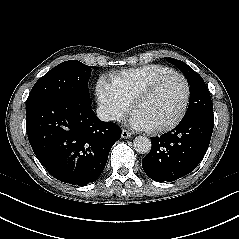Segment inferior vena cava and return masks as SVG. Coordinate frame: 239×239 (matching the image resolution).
<instances>
[{
	"mask_svg": "<svg viewBox=\"0 0 239 239\" xmlns=\"http://www.w3.org/2000/svg\"><path fill=\"white\" fill-rule=\"evenodd\" d=\"M97 117L101 121H106V122L113 121L116 119L115 113L111 109L105 106H100L97 108Z\"/></svg>",
	"mask_w": 239,
	"mask_h": 239,
	"instance_id": "obj_1",
	"label": "inferior vena cava"
}]
</instances>
